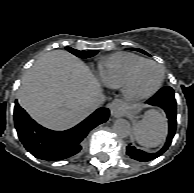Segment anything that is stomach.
<instances>
[{
  "mask_svg": "<svg viewBox=\"0 0 194 193\" xmlns=\"http://www.w3.org/2000/svg\"><path fill=\"white\" fill-rule=\"evenodd\" d=\"M140 109L141 106L138 104L124 107L125 113L128 114L129 116H134Z\"/></svg>",
  "mask_w": 194,
  "mask_h": 193,
  "instance_id": "stomach-1",
  "label": "stomach"
}]
</instances>
